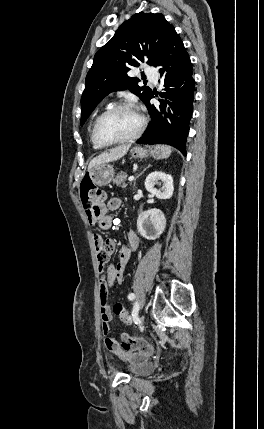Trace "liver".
<instances>
[{"instance_id": "6515ba94", "label": "liver", "mask_w": 264, "mask_h": 429, "mask_svg": "<svg viewBox=\"0 0 264 429\" xmlns=\"http://www.w3.org/2000/svg\"><path fill=\"white\" fill-rule=\"evenodd\" d=\"M129 148H130V145L127 144V145H121L103 152L102 154L96 156L90 161L88 165V171H90L92 168H94L97 165L116 161L122 158L128 152Z\"/></svg>"}]
</instances>
